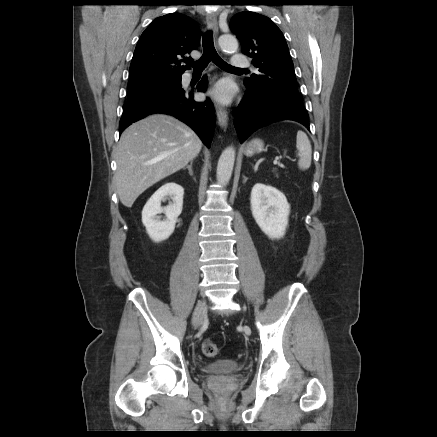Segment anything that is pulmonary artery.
Segmentation results:
<instances>
[{
  "instance_id": "e3ab8cb5",
  "label": "pulmonary artery",
  "mask_w": 437,
  "mask_h": 437,
  "mask_svg": "<svg viewBox=\"0 0 437 437\" xmlns=\"http://www.w3.org/2000/svg\"><path fill=\"white\" fill-rule=\"evenodd\" d=\"M231 65L235 68L244 69L250 66V62L246 57L239 54H235L232 57Z\"/></svg>"
}]
</instances>
